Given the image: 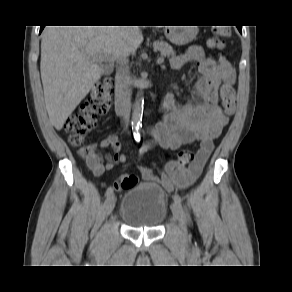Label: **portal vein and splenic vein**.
<instances>
[{"label":"portal vein and splenic vein","instance_id":"portal-vein-and-splenic-vein-1","mask_svg":"<svg viewBox=\"0 0 292 292\" xmlns=\"http://www.w3.org/2000/svg\"><path fill=\"white\" fill-rule=\"evenodd\" d=\"M89 57L91 59H94V60H98V61H104V60H107L106 56L104 55H101V54H90ZM111 61V60H110ZM164 62V59L162 57L158 58L157 60V63L158 64H162Z\"/></svg>","mask_w":292,"mask_h":292}]
</instances>
